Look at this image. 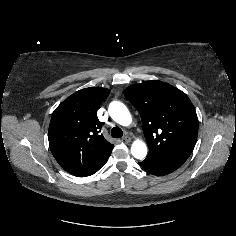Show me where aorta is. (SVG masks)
<instances>
[{"instance_id":"obj_1","label":"aorta","mask_w":236,"mask_h":236,"mask_svg":"<svg viewBox=\"0 0 236 236\" xmlns=\"http://www.w3.org/2000/svg\"><path fill=\"white\" fill-rule=\"evenodd\" d=\"M108 112L111 118L122 126H128L132 117L127 107L119 102L113 101L109 104ZM131 153L136 159H143L147 155V146L143 141L136 140L131 146Z\"/></svg>"}]
</instances>
